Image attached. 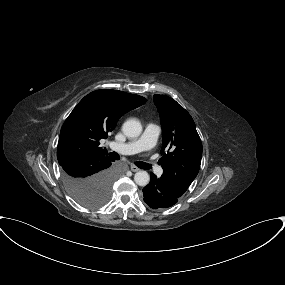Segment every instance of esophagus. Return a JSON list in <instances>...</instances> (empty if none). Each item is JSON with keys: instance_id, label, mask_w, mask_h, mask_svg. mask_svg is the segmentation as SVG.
I'll use <instances>...</instances> for the list:
<instances>
[{"instance_id": "obj_1", "label": "esophagus", "mask_w": 285, "mask_h": 285, "mask_svg": "<svg viewBox=\"0 0 285 285\" xmlns=\"http://www.w3.org/2000/svg\"><path fill=\"white\" fill-rule=\"evenodd\" d=\"M130 169H131V171H133V172H137V171L140 170V169H139L138 167H136L135 165H131V166H130Z\"/></svg>"}]
</instances>
